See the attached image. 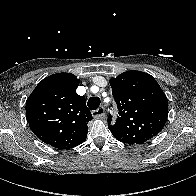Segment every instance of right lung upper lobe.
Listing matches in <instances>:
<instances>
[{"mask_svg": "<svg viewBox=\"0 0 196 196\" xmlns=\"http://www.w3.org/2000/svg\"><path fill=\"white\" fill-rule=\"evenodd\" d=\"M78 86L75 75L58 73L43 79L28 97L27 122L42 142L68 149L86 140L92 114L76 93Z\"/></svg>", "mask_w": 196, "mask_h": 196, "instance_id": "cb5924a9", "label": "right lung upper lobe"}]
</instances>
